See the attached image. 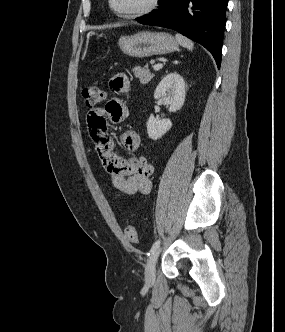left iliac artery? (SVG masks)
<instances>
[{
	"mask_svg": "<svg viewBox=\"0 0 285 332\" xmlns=\"http://www.w3.org/2000/svg\"><path fill=\"white\" fill-rule=\"evenodd\" d=\"M160 239H158L157 241H155V243L152 245L151 249H150V253H148V256H152L154 255V253L156 252V250L159 248L160 246Z\"/></svg>",
	"mask_w": 285,
	"mask_h": 332,
	"instance_id": "obj_1",
	"label": "left iliac artery"
}]
</instances>
